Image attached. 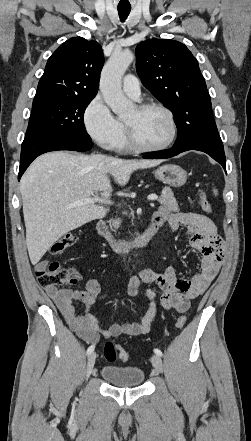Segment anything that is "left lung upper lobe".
<instances>
[{
  "mask_svg": "<svg viewBox=\"0 0 251 441\" xmlns=\"http://www.w3.org/2000/svg\"><path fill=\"white\" fill-rule=\"evenodd\" d=\"M136 69L143 85L173 113L177 129L201 115L213 117L198 61L184 44L167 39L139 43Z\"/></svg>",
  "mask_w": 251,
  "mask_h": 441,
  "instance_id": "1",
  "label": "left lung upper lobe"
}]
</instances>
